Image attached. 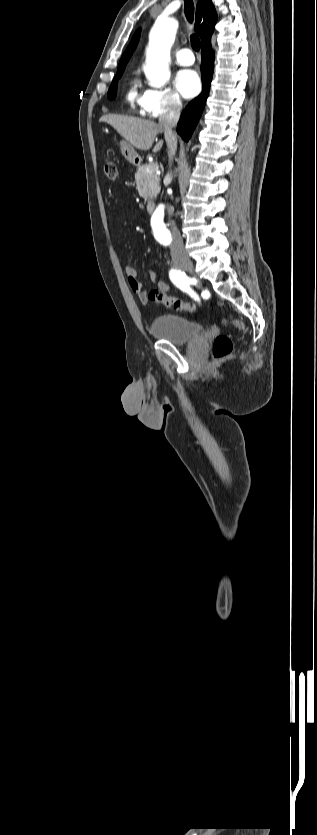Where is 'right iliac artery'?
Returning <instances> with one entry per match:
<instances>
[{
  "label": "right iliac artery",
  "mask_w": 317,
  "mask_h": 835,
  "mask_svg": "<svg viewBox=\"0 0 317 835\" xmlns=\"http://www.w3.org/2000/svg\"><path fill=\"white\" fill-rule=\"evenodd\" d=\"M169 277H170V280L173 282L174 285H176L183 292H186L187 294H189L195 300L199 301V297L190 288L189 279L183 271L177 270V269H171L170 272H169Z\"/></svg>",
  "instance_id": "82829eb1"
}]
</instances>
